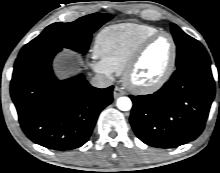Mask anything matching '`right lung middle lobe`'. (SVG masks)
Wrapping results in <instances>:
<instances>
[{
    "label": "right lung middle lobe",
    "instance_id": "obj_1",
    "mask_svg": "<svg viewBox=\"0 0 220 173\" xmlns=\"http://www.w3.org/2000/svg\"><path fill=\"white\" fill-rule=\"evenodd\" d=\"M112 18L113 16L109 14L94 13L74 22L51 24L38 37L26 44L19 56L52 47L69 48L85 53L93 32Z\"/></svg>",
    "mask_w": 220,
    "mask_h": 173
}]
</instances>
